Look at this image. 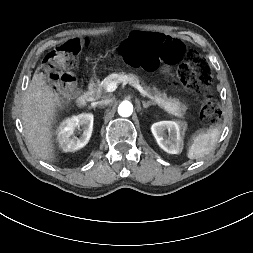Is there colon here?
<instances>
[{"instance_id":"5ec220e1","label":"colon","mask_w":253,"mask_h":253,"mask_svg":"<svg viewBox=\"0 0 253 253\" xmlns=\"http://www.w3.org/2000/svg\"><path fill=\"white\" fill-rule=\"evenodd\" d=\"M82 48L79 40H70L47 53L43 59V71L47 80L60 94H73L76 91L75 77L69 69L76 63ZM124 60L136 67L153 68L157 57L171 63H178L173 86H181L189 92H197L208 87L212 80L211 68L198 52L186 49L177 39L160 34L132 33L121 45ZM200 116L208 126H214L221 117L218 102L205 97Z\"/></svg>"}]
</instances>
